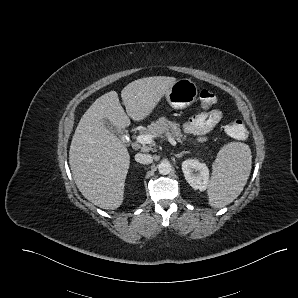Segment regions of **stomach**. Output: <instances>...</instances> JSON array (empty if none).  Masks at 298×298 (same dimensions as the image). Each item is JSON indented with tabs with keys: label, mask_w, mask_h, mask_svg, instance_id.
<instances>
[{
	"label": "stomach",
	"mask_w": 298,
	"mask_h": 298,
	"mask_svg": "<svg viewBox=\"0 0 298 298\" xmlns=\"http://www.w3.org/2000/svg\"><path fill=\"white\" fill-rule=\"evenodd\" d=\"M198 87L189 78L177 79L165 94L169 106L175 110H183L191 106L197 99Z\"/></svg>",
	"instance_id": "stomach-1"
}]
</instances>
